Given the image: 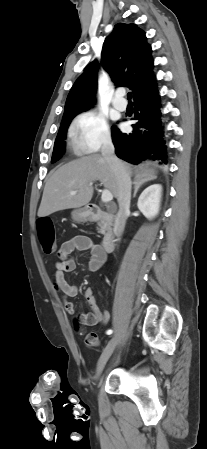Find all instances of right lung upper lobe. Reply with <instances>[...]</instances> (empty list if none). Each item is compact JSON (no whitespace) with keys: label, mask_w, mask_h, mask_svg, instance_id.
<instances>
[{"label":"right lung upper lobe","mask_w":207,"mask_h":449,"mask_svg":"<svg viewBox=\"0 0 207 449\" xmlns=\"http://www.w3.org/2000/svg\"><path fill=\"white\" fill-rule=\"evenodd\" d=\"M151 46L145 33L134 24L118 23L104 41L101 64L116 86H126L133 98L152 91L156 84ZM98 62L85 68L72 86L65 103L63 120L88 110L94 104Z\"/></svg>","instance_id":"right-lung-upper-lobe-1"}]
</instances>
